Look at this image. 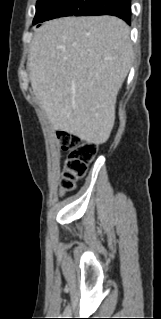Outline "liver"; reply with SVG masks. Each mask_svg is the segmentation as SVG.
Wrapping results in <instances>:
<instances>
[{"label": "liver", "instance_id": "liver-1", "mask_svg": "<svg viewBox=\"0 0 161 319\" xmlns=\"http://www.w3.org/2000/svg\"><path fill=\"white\" fill-rule=\"evenodd\" d=\"M129 34L113 16L66 17L35 29L27 66L54 129L97 145L108 140L116 97L132 65Z\"/></svg>", "mask_w": 161, "mask_h": 319}]
</instances>
